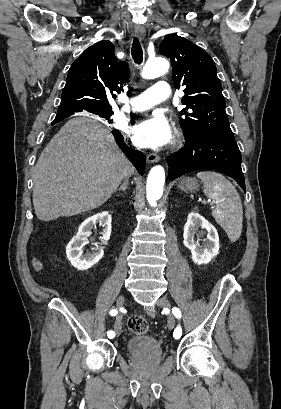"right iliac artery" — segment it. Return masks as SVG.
Listing matches in <instances>:
<instances>
[{
	"instance_id": "82829eb1",
	"label": "right iliac artery",
	"mask_w": 281,
	"mask_h": 409,
	"mask_svg": "<svg viewBox=\"0 0 281 409\" xmlns=\"http://www.w3.org/2000/svg\"><path fill=\"white\" fill-rule=\"evenodd\" d=\"M117 314V310L116 309H112L111 311H110V315H112V316H115ZM108 337L109 338H113L114 336H115V332L114 331H109L108 332Z\"/></svg>"
}]
</instances>
